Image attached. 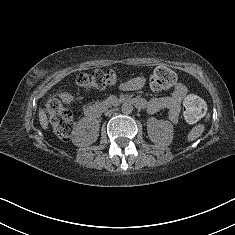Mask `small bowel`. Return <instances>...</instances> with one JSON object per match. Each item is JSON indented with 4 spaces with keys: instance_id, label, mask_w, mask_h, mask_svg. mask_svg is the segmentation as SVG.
<instances>
[{
    "instance_id": "obj_1",
    "label": "small bowel",
    "mask_w": 235,
    "mask_h": 235,
    "mask_svg": "<svg viewBox=\"0 0 235 235\" xmlns=\"http://www.w3.org/2000/svg\"><path fill=\"white\" fill-rule=\"evenodd\" d=\"M188 94V88L183 83H176L170 96L161 98H152L146 100L143 98H135L133 100L139 102V107L153 114L160 110H167V118L170 122L176 123L179 118L180 107L183 99Z\"/></svg>"
}]
</instances>
